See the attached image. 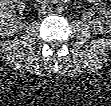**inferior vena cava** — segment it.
Instances as JSON below:
<instances>
[{"instance_id": "inferior-vena-cava-1", "label": "inferior vena cava", "mask_w": 111, "mask_h": 106, "mask_svg": "<svg viewBox=\"0 0 111 106\" xmlns=\"http://www.w3.org/2000/svg\"><path fill=\"white\" fill-rule=\"evenodd\" d=\"M50 11H51V7L46 3L41 4L38 8L39 14H42V15H45L49 13Z\"/></svg>"}]
</instances>
